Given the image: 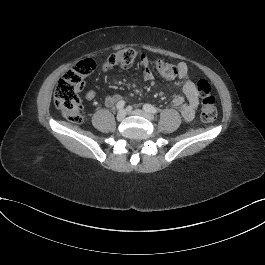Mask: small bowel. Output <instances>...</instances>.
<instances>
[{
  "label": "small bowel",
  "mask_w": 265,
  "mask_h": 265,
  "mask_svg": "<svg viewBox=\"0 0 265 265\" xmlns=\"http://www.w3.org/2000/svg\"><path fill=\"white\" fill-rule=\"evenodd\" d=\"M140 65L142 68L143 79L145 81L153 80L154 74L151 70L149 61L144 55L141 57ZM177 66L179 70L178 76L179 79L181 80L180 84L181 94L175 95L172 99V102L175 106H177L180 109L182 118L185 121L190 122L195 118L198 111V107L200 104L199 94L197 91L196 84L190 79L188 65L185 62H180ZM103 69L106 71L111 70L107 62L103 65ZM95 96L96 92L94 90H89L85 94V98L88 101L93 100ZM121 99H122L121 95L111 93L107 94L104 97V103L107 106H111L116 102L121 101Z\"/></svg>",
  "instance_id": "small-bowel-1"
}]
</instances>
